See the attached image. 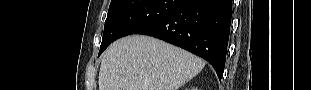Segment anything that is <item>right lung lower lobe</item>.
<instances>
[{"label":"right lung lower lobe","mask_w":311,"mask_h":90,"mask_svg":"<svg viewBox=\"0 0 311 90\" xmlns=\"http://www.w3.org/2000/svg\"><path fill=\"white\" fill-rule=\"evenodd\" d=\"M231 16L232 0H183L168 15L136 34L153 36L204 58L221 80Z\"/></svg>","instance_id":"1"}]
</instances>
